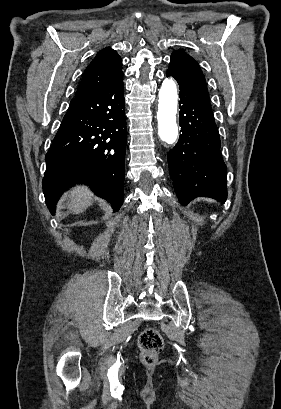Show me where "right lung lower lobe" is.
<instances>
[{
  "label": "right lung lower lobe",
  "instance_id": "right-lung-lower-lobe-1",
  "mask_svg": "<svg viewBox=\"0 0 281 409\" xmlns=\"http://www.w3.org/2000/svg\"><path fill=\"white\" fill-rule=\"evenodd\" d=\"M123 74L107 88L73 98L46 155L45 202L52 214L74 175L118 211L124 200L126 118Z\"/></svg>",
  "mask_w": 281,
  "mask_h": 409
}]
</instances>
